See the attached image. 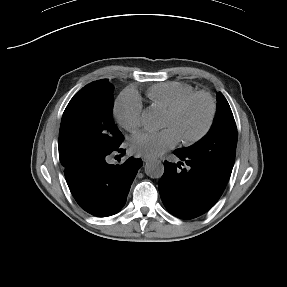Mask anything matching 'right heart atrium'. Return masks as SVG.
<instances>
[{
    "label": "right heart atrium",
    "instance_id": "d8ad5b80",
    "mask_svg": "<svg viewBox=\"0 0 287 287\" xmlns=\"http://www.w3.org/2000/svg\"><path fill=\"white\" fill-rule=\"evenodd\" d=\"M114 114L124 129L130 132L137 131L143 124V107L138 93H122L115 102Z\"/></svg>",
    "mask_w": 287,
    "mask_h": 287
}]
</instances>
